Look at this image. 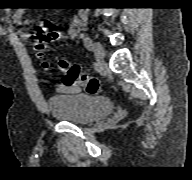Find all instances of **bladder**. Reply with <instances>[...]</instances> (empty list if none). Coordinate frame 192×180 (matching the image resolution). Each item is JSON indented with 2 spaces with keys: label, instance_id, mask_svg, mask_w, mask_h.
Returning <instances> with one entry per match:
<instances>
[{
  "label": "bladder",
  "instance_id": "bladder-1",
  "mask_svg": "<svg viewBox=\"0 0 192 180\" xmlns=\"http://www.w3.org/2000/svg\"><path fill=\"white\" fill-rule=\"evenodd\" d=\"M48 106L56 121L76 125L90 124L114 110V105L108 98L83 93L52 96L48 100Z\"/></svg>",
  "mask_w": 192,
  "mask_h": 180
}]
</instances>
